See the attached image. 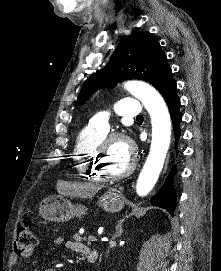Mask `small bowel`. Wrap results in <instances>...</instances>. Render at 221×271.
I'll list each match as a JSON object with an SVG mask.
<instances>
[{"instance_id": "obj_1", "label": "small bowel", "mask_w": 221, "mask_h": 271, "mask_svg": "<svg viewBox=\"0 0 221 271\" xmlns=\"http://www.w3.org/2000/svg\"><path fill=\"white\" fill-rule=\"evenodd\" d=\"M54 244L56 246H65L69 251L77 253V254H81V255H86L88 258L92 257L96 253L95 250H90L88 246H86L80 240H66L63 237H57L54 240ZM33 254H34V248L30 247L20 253L12 254L10 260H11V263L15 265L17 264L20 256L24 258H29Z\"/></svg>"}]
</instances>
